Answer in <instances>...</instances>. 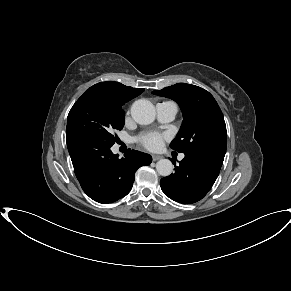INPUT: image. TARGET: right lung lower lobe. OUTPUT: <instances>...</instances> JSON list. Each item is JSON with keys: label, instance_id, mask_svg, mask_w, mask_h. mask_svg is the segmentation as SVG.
<instances>
[{"label": "right lung lower lobe", "instance_id": "1", "mask_svg": "<svg viewBox=\"0 0 291 291\" xmlns=\"http://www.w3.org/2000/svg\"><path fill=\"white\" fill-rule=\"evenodd\" d=\"M76 177L84 192L99 203H112L126 196L132 188L136 170L152 162V157L128 150L118 159L111 145L81 136H66Z\"/></svg>", "mask_w": 291, "mask_h": 291}]
</instances>
